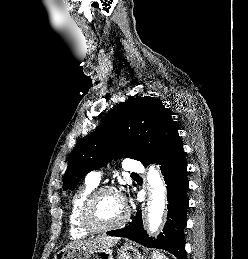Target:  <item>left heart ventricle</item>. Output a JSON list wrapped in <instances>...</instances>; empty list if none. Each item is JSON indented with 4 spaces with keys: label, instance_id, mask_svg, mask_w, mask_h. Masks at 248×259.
<instances>
[{
    "label": "left heart ventricle",
    "instance_id": "1",
    "mask_svg": "<svg viewBox=\"0 0 248 259\" xmlns=\"http://www.w3.org/2000/svg\"><path fill=\"white\" fill-rule=\"evenodd\" d=\"M125 213V204L116 193L102 194L94 208L95 219L100 224H111L120 220Z\"/></svg>",
    "mask_w": 248,
    "mask_h": 259
}]
</instances>
